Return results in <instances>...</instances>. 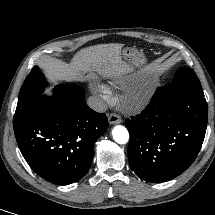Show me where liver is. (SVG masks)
<instances>
[{
  "label": "liver",
  "mask_w": 215,
  "mask_h": 215,
  "mask_svg": "<svg viewBox=\"0 0 215 215\" xmlns=\"http://www.w3.org/2000/svg\"><path fill=\"white\" fill-rule=\"evenodd\" d=\"M122 44H99L79 51L70 62L49 60L43 64L44 71L54 79L79 80L84 74L94 73L105 78H122L132 71L122 59Z\"/></svg>",
  "instance_id": "6515ba94"
}]
</instances>
